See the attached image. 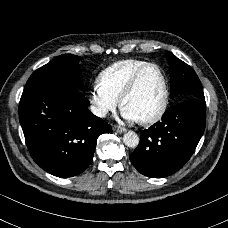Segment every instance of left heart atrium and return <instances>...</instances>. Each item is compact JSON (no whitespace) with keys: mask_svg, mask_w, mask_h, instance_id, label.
Returning a JSON list of instances; mask_svg holds the SVG:
<instances>
[{"mask_svg":"<svg viewBox=\"0 0 228 228\" xmlns=\"http://www.w3.org/2000/svg\"><path fill=\"white\" fill-rule=\"evenodd\" d=\"M123 116L129 122H136V121H138V118L131 111H129L127 109H124L123 110Z\"/></svg>","mask_w":228,"mask_h":228,"instance_id":"obj_1","label":"left heart atrium"}]
</instances>
